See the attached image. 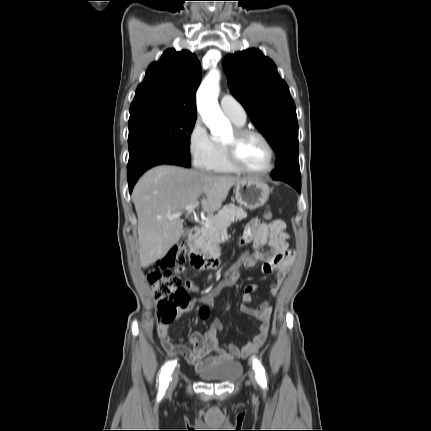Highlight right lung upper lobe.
<instances>
[{"label":"right lung upper lobe","instance_id":"1","mask_svg":"<svg viewBox=\"0 0 431 431\" xmlns=\"http://www.w3.org/2000/svg\"><path fill=\"white\" fill-rule=\"evenodd\" d=\"M200 81L201 66L194 54L166 50L137 87L130 118L153 113L197 117L195 93Z\"/></svg>","mask_w":431,"mask_h":431}]
</instances>
